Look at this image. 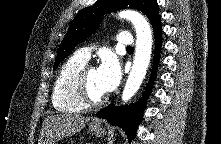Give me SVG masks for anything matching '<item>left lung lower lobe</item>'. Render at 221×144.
Returning <instances> with one entry per match:
<instances>
[{"label":"left lung lower lobe","mask_w":221,"mask_h":144,"mask_svg":"<svg viewBox=\"0 0 221 144\" xmlns=\"http://www.w3.org/2000/svg\"><path fill=\"white\" fill-rule=\"evenodd\" d=\"M153 31L155 36V57L151 78L142 98L137 103L132 105L115 107L112 104L96 114V116H98L99 118L106 119L111 125L120 126L122 129H124L129 141H131L135 137V132L137 131L138 125L142 120L143 112L145 110V105L147 102L146 99L151 93L152 84L156 77V67L159 63L161 49V18H159L153 24Z\"/></svg>","instance_id":"obj_1"}]
</instances>
